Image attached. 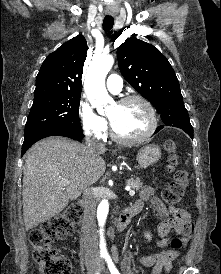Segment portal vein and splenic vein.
Wrapping results in <instances>:
<instances>
[{
  "mask_svg": "<svg viewBox=\"0 0 221 274\" xmlns=\"http://www.w3.org/2000/svg\"><path fill=\"white\" fill-rule=\"evenodd\" d=\"M69 183V182H67ZM126 190L129 191L130 196H133L135 194L134 190H131L130 187H126Z\"/></svg>",
  "mask_w": 221,
  "mask_h": 274,
  "instance_id": "18ae733b",
  "label": "portal vein and splenic vein"
}]
</instances>
